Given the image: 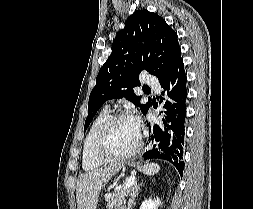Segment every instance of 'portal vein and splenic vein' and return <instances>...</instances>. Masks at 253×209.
Here are the masks:
<instances>
[{
    "mask_svg": "<svg viewBox=\"0 0 253 209\" xmlns=\"http://www.w3.org/2000/svg\"><path fill=\"white\" fill-rule=\"evenodd\" d=\"M134 183H135V177L131 176L127 180L126 185L123 187V189L126 190L127 188H130Z\"/></svg>",
    "mask_w": 253,
    "mask_h": 209,
    "instance_id": "18ae733b",
    "label": "portal vein and splenic vein"
}]
</instances>
